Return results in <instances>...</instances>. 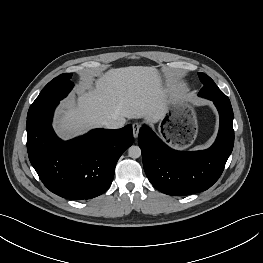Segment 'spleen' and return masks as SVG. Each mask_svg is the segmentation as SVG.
<instances>
[{"instance_id": "1", "label": "spleen", "mask_w": 263, "mask_h": 263, "mask_svg": "<svg viewBox=\"0 0 263 263\" xmlns=\"http://www.w3.org/2000/svg\"><path fill=\"white\" fill-rule=\"evenodd\" d=\"M204 146L203 145H198L196 147L193 148V150H200L202 149Z\"/></svg>"}]
</instances>
